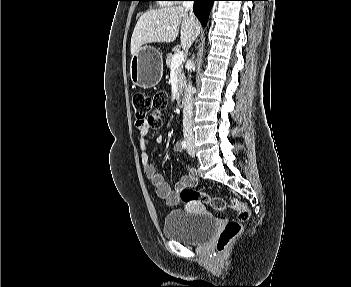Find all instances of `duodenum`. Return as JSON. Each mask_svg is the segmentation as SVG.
I'll list each match as a JSON object with an SVG mask.
<instances>
[{
  "label": "duodenum",
  "mask_w": 351,
  "mask_h": 287,
  "mask_svg": "<svg viewBox=\"0 0 351 287\" xmlns=\"http://www.w3.org/2000/svg\"><path fill=\"white\" fill-rule=\"evenodd\" d=\"M176 103H177V105H179V106L183 105V103H184L183 93H182L181 90H179V91L176 93Z\"/></svg>",
  "instance_id": "duodenum-1"
}]
</instances>
